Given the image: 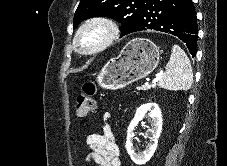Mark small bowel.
Wrapping results in <instances>:
<instances>
[{
	"mask_svg": "<svg viewBox=\"0 0 227 166\" xmlns=\"http://www.w3.org/2000/svg\"><path fill=\"white\" fill-rule=\"evenodd\" d=\"M103 128L101 134H90L86 137L89 154L86 161L93 166H121L119 147L109 124L110 113L103 114Z\"/></svg>",
	"mask_w": 227,
	"mask_h": 166,
	"instance_id": "obj_1",
	"label": "small bowel"
}]
</instances>
